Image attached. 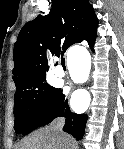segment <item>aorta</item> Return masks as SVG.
Returning <instances> with one entry per match:
<instances>
[{"instance_id":"1","label":"aorta","mask_w":124,"mask_h":149,"mask_svg":"<svg viewBox=\"0 0 124 149\" xmlns=\"http://www.w3.org/2000/svg\"><path fill=\"white\" fill-rule=\"evenodd\" d=\"M74 59L80 61V63L83 64L82 71L85 75H87L89 72V68H90V56H89L88 52L81 51ZM72 68H74V72H77L79 69L78 66L73 67V65H72Z\"/></svg>"}]
</instances>
